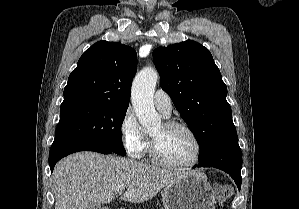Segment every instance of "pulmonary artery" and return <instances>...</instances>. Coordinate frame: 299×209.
Returning <instances> with one entry per match:
<instances>
[{
  "instance_id": "e3ab8cb5",
  "label": "pulmonary artery",
  "mask_w": 299,
  "mask_h": 209,
  "mask_svg": "<svg viewBox=\"0 0 299 209\" xmlns=\"http://www.w3.org/2000/svg\"><path fill=\"white\" fill-rule=\"evenodd\" d=\"M155 107L165 116L171 114L172 102L170 96L163 90L159 89L154 93Z\"/></svg>"
}]
</instances>
